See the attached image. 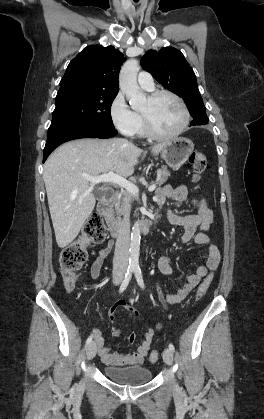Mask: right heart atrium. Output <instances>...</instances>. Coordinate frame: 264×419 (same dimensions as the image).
<instances>
[{
	"label": "right heart atrium",
	"mask_w": 264,
	"mask_h": 419,
	"mask_svg": "<svg viewBox=\"0 0 264 419\" xmlns=\"http://www.w3.org/2000/svg\"><path fill=\"white\" fill-rule=\"evenodd\" d=\"M111 120L118 131L125 136H134L140 128V117L127 104L122 92H118L109 108Z\"/></svg>",
	"instance_id": "d8ad5b80"
}]
</instances>
